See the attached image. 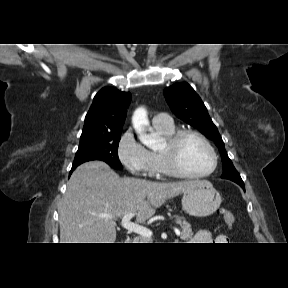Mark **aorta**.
Masks as SVG:
<instances>
[{
    "label": "aorta",
    "mask_w": 288,
    "mask_h": 288,
    "mask_svg": "<svg viewBox=\"0 0 288 288\" xmlns=\"http://www.w3.org/2000/svg\"><path fill=\"white\" fill-rule=\"evenodd\" d=\"M132 124L139 140L148 148L155 149L157 147V140L146 133V126L149 125V120L147 111L144 108H138L134 112Z\"/></svg>",
    "instance_id": "aorta-1"
}]
</instances>
